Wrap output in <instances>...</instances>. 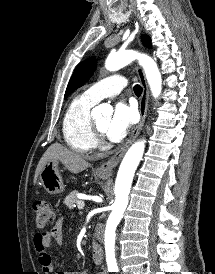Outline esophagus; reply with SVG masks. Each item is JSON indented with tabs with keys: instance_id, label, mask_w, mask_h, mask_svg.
Segmentation results:
<instances>
[{
	"instance_id": "esophagus-1",
	"label": "esophagus",
	"mask_w": 215,
	"mask_h": 274,
	"mask_svg": "<svg viewBox=\"0 0 215 274\" xmlns=\"http://www.w3.org/2000/svg\"><path fill=\"white\" fill-rule=\"evenodd\" d=\"M136 71L139 77V80L141 82L143 92L140 100V122L136 126V128L133 130L130 138L128 141L107 161L102 163L100 166L97 167L96 173L101 176L109 177L113 169L118 165L121 158L123 157L124 153L127 151L128 147L132 144V142L137 138L139 135L147 114V108H148V101H149V89L146 81V77L144 74V71L141 67L137 66Z\"/></svg>"
}]
</instances>
